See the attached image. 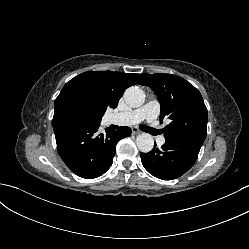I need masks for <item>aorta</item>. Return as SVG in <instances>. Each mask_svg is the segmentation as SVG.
I'll return each instance as SVG.
<instances>
[{"label":"aorta","instance_id":"obj_1","mask_svg":"<svg viewBox=\"0 0 249 249\" xmlns=\"http://www.w3.org/2000/svg\"><path fill=\"white\" fill-rule=\"evenodd\" d=\"M124 99L130 107H139L145 101V93L141 88L131 86L125 90ZM136 145L141 152L147 153L153 149L154 139L150 134L142 133L137 136Z\"/></svg>","mask_w":249,"mask_h":249}]
</instances>
